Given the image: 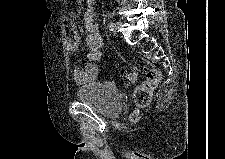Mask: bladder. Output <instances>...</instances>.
Returning a JSON list of instances; mask_svg holds the SVG:
<instances>
[{"label":"bladder","mask_w":225,"mask_h":159,"mask_svg":"<svg viewBox=\"0 0 225 159\" xmlns=\"http://www.w3.org/2000/svg\"><path fill=\"white\" fill-rule=\"evenodd\" d=\"M76 96L81 103L89 105L98 114L107 118L118 116L124 105L119 90L101 81H93L80 87Z\"/></svg>","instance_id":"31cf9c89"}]
</instances>
